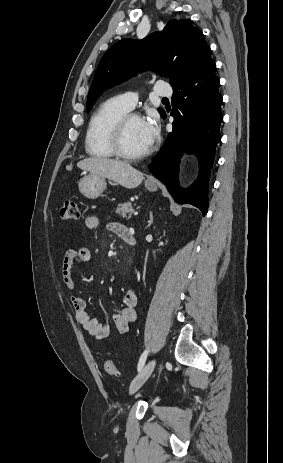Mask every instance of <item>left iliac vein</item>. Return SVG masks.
Returning a JSON list of instances; mask_svg holds the SVG:
<instances>
[{
  "mask_svg": "<svg viewBox=\"0 0 283 463\" xmlns=\"http://www.w3.org/2000/svg\"><path fill=\"white\" fill-rule=\"evenodd\" d=\"M156 365V359L150 360L138 373V375L133 379L130 384L129 392L130 394H134L137 392L141 386L147 381L150 377L151 373L153 372Z\"/></svg>",
  "mask_w": 283,
  "mask_h": 463,
  "instance_id": "4c4485c4",
  "label": "left iliac vein"
}]
</instances>
